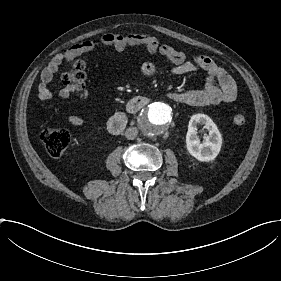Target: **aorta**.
<instances>
[{"mask_svg":"<svg viewBox=\"0 0 281 281\" xmlns=\"http://www.w3.org/2000/svg\"><path fill=\"white\" fill-rule=\"evenodd\" d=\"M139 119L147 135H158L167 129L172 109L163 102H154L141 111Z\"/></svg>","mask_w":281,"mask_h":281,"instance_id":"1","label":"aorta"}]
</instances>
